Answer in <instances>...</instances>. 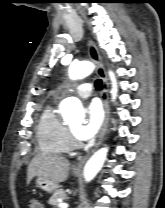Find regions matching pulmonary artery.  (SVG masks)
<instances>
[{
  "instance_id": "1",
  "label": "pulmonary artery",
  "mask_w": 165,
  "mask_h": 208,
  "mask_svg": "<svg viewBox=\"0 0 165 208\" xmlns=\"http://www.w3.org/2000/svg\"><path fill=\"white\" fill-rule=\"evenodd\" d=\"M92 94V85L89 83L80 84L77 87V95L80 98H88Z\"/></svg>"
}]
</instances>
